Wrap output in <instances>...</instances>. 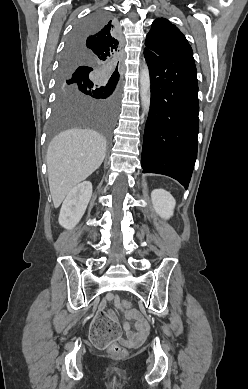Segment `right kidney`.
Here are the masks:
<instances>
[{"label": "right kidney", "instance_id": "obj_1", "mask_svg": "<svg viewBox=\"0 0 248 389\" xmlns=\"http://www.w3.org/2000/svg\"><path fill=\"white\" fill-rule=\"evenodd\" d=\"M92 196V184L84 181L66 196L59 214V224L65 229L74 228L84 215Z\"/></svg>", "mask_w": 248, "mask_h": 389}]
</instances>
